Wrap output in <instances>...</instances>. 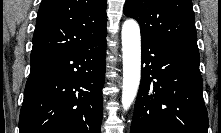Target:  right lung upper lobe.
I'll return each instance as SVG.
<instances>
[{"label": "right lung upper lobe", "mask_w": 221, "mask_h": 133, "mask_svg": "<svg viewBox=\"0 0 221 133\" xmlns=\"http://www.w3.org/2000/svg\"><path fill=\"white\" fill-rule=\"evenodd\" d=\"M106 0H43L31 58L81 48L106 30Z\"/></svg>", "instance_id": "1"}]
</instances>
